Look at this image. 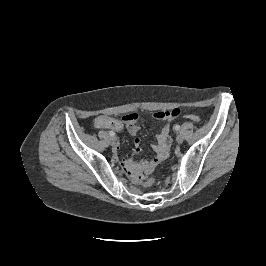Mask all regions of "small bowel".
<instances>
[{
    "instance_id": "small-bowel-1",
    "label": "small bowel",
    "mask_w": 266,
    "mask_h": 266,
    "mask_svg": "<svg viewBox=\"0 0 266 266\" xmlns=\"http://www.w3.org/2000/svg\"><path fill=\"white\" fill-rule=\"evenodd\" d=\"M179 113L180 111L178 109H172L157 112L154 114V117L160 122H170L178 117ZM94 124L97 128H109L115 130H120L125 126L128 133L133 137H136L139 131L138 115L135 113L126 114L123 116L122 121L107 116H99L95 119ZM170 145V128L168 124H165L157 135V143L153 146L155 157L146 162H135L124 159L122 160V168L135 180H141L151 173L153 169L167 157ZM140 150L141 141L139 138H135V151L139 153ZM114 152L115 154L119 152V145L115 146Z\"/></svg>"
}]
</instances>
